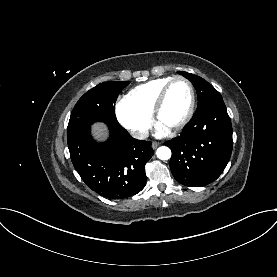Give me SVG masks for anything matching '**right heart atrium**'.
Instances as JSON below:
<instances>
[{
  "label": "right heart atrium",
  "instance_id": "right-heart-atrium-1",
  "mask_svg": "<svg viewBox=\"0 0 277 277\" xmlns=\"http://www.w3.org/2000/svg\"><path fill=\"white\" fill-rule=\"evenodd\" d=\"M116 117L119 123L137 138L146 137L151 124V115H148L137 109L126 97L118 100L115 108Z\"/></svg>",
  "mask_w": 277,
  "mask_h": 277
}]
</instances>
